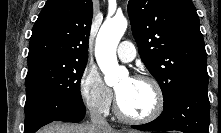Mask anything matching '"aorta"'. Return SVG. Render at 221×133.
<instances>
[{
	"instance_id": "1",
	"label": "aorta",
	"mask_w": 221,
	"mask_h": 133,
	"mask_svg": "<svg viewBox=\"0 0 221 133\" xmlns=\"http://www.w3.org/2000/svg\"><path fill=\"white\" fill-rule=\"evenodd\" d=\"M128 22L123 16L106 20L101 26L95 44V57L104 74L105 83L116 85L121 76L127 75V70L119 66L116 49L127 29Z\"/></svg>"
}]
</instances>
